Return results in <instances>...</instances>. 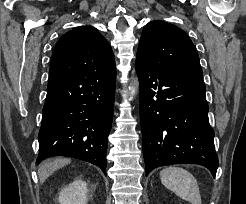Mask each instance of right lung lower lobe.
<instances>
[{
    "mask_svg": "<svg viewBox=\"0 0 246 204\" xmlns=\"http://www.w3.org/2000/svg\"><path fill=\"white\" fill-rule=\"evenodd\" d=\"M116 68L49 79L36 164L53 156L81 159L106 174Z\"/></svg>",
    "mask_w": 246,
    "mask_h": 204,
    "instance_id": "right-lung-lower-lobe-1",
    "label": "right lung lower lobe"
}]
</instances>
